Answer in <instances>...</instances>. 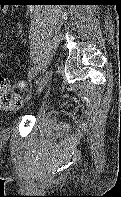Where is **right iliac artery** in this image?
<instances>
[{
  "mask_svg": "<svg viewBox=\"0 0 121 197\" xmlns=\"http://www.w3.org/2000/svg\"><path fill=\"white\" fill-rule=\"evenodd\" d=\"M40 72V67L34 68L29 74V81H33Z\"/></svg>",
  "mask_w": 121,
  "mask_h": 197,
  "instance_id": "right-iliac-artery-1",
  "label": "right iliac artery"
}]
</instances>
